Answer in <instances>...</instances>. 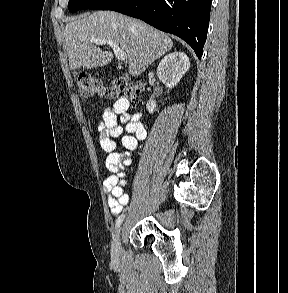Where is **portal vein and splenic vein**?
Instances as JSON below:
<instances>
[{"label": "portal vein and splenic vein", "mask_w": 288, "mask_h": 293, "mask_svg": "<svg viewBox=\"0 0 288 293\" xmlns=\"http://www.w3.org/2000/svg\"><path fill=\"white\" fill-rule=\"evenodd\" d=\"M90 41L96 45L108 44L113 49L115 56L119 61H125L127 58L126 53L112 40L90 38Z\"/></svg>", "instance_id": "1"}]
</instances>
